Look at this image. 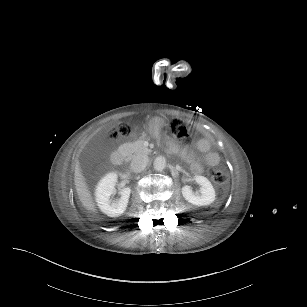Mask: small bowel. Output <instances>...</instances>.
<instances>
[{
  "label": "small bowel",
  "instance_id": "c3829d8e",
  "mask_svg": "<svg viewBox=\"0 0 307 307\" xmlns=\"http://www.w3.org/2000/svg\"><path fill=\"white\" fill-rule=\"evenodd\" d=\"M196 150L200 156H196L193 152H186L187 161L191 165V170L194 174H201L203 172V164L209 166L217 165L220 161L219 155L211 150V142L208 138H201L195 145Z\"/></svg>",
  "mask_w": 307,
  "mask_h": 307
}]
</instances>
